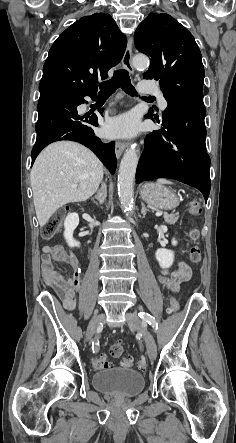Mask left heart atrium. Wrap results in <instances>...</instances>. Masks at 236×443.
<instances>
[{
  "label": "left heart atrium",
  "instance_id": "left-heart-atrium-1",
  "mask_svg": "<svg viewBox=\"0 0 236 443\" xmlns=\"http://www.w3.org/2000/svg\"><path fill=\"white\" fill-rule=\"evenodd\" d=\"M138 129V119L132 113L110 119L105 125V131L110 137H131L137 134Z\"/></svg>",
  "mask_w": 236,
  "mask_h": 443
}]
</instances>
